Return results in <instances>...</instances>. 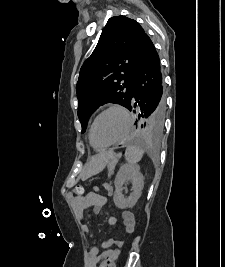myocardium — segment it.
<instances>
[{
    "label": "myocardium",
    "mask_w": 225,
    "mask_h": 267,
    "mask_svg": "<svg viewBox=\"0 0 225 267\" xmlns=\"http://www.w3.org/2000/svg\"><path fill=\"white\" fill-rule=\"evenodd\" d=\"M113 110L119 111L124 115V117L126 119V128H125L123 134L118 139H116V140H114V141H112L110 143L99 144V143L96 142L95 136H94L95 125H96L98 119L103 114H105L106 112H109V111H113ZM132 125H133L132 116H131L130 112L125 107H123L121 105H110V106H107L102 111H100L92 121L90 130H89L90 141H91L92 145H94L96 147H99V148H107V147H111V146L117 145V144L123 142L128 137V135H129V133H130V131L132 129Z\"/></svg>",
    "instance_id": "obj_1"
}]
</instances>
